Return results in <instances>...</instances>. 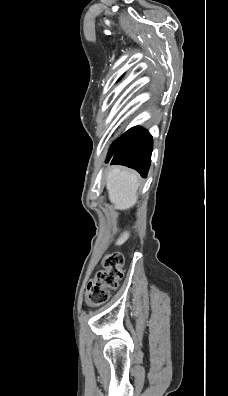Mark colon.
I'll return each mask as SVG.
<instances>
[{"label": "colon", "mask_w": 228, "mask_h": 396, "mask_svg": "<svg viewBox=\"0 0 228 396\" xmlns=\"http://www.w3.org/2000/svg\"><path fill=\"white\" fill-rule=\"evenodd\" d=\"M124 258L118 252L106 255L102 268L89 282L86 290V302L96 307L108 301L110 291L114 290L123 275Z\"/></svg>", "instance_id": "5ec220e1"}]
</instances>
